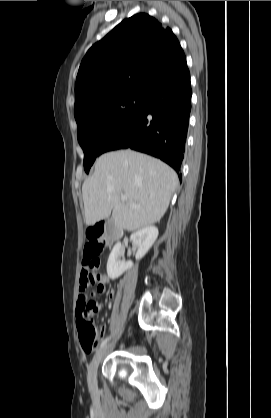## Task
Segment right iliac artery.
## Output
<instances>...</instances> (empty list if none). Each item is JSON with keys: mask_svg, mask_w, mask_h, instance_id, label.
Here are the masks:
<instances>
[{"mask_svg": "<svg viewBox=\"0 0 271 418\" xmlns=\"http://www.w3.org/2000/svg\"><path fill=\"white\" fill-rule=\"evenodd\" d=\"M109 339H110V337L105 338V339L101 342V344H100V348H103V347L106 345V343L109 341Z\"/></svg>", "mask_w": 271, "mask_h": 418, "instance_id": "right-iliac-artery-1", "label": "right iliac artery"}]
</instances>
